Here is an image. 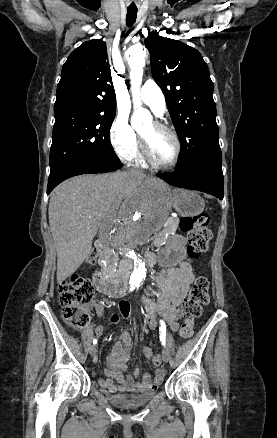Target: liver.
<instances>
[{
    "instance_id": "6515ba94",
    "label": "liver",
    "mask_w": 277,
    "mask_h": 438,
    "mask_svg": "<svg viewBox=\"0 0 277 438\" xmlns=\"http://www.w3.org/2000/svg\"><path fill=\"white\" fill-rule=\"evenodd\" d=\"M144 178L142 172L84 174L53 190L48 216L57 254L58 284L88 258L95 234L112 226L118 210L120 220H130L121 219V206L128 205L129 188H138Z\"/></svg>"
}]
</instances>
